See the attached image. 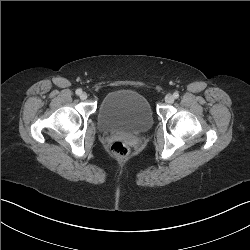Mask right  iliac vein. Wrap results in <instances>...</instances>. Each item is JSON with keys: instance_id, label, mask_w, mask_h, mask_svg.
Returning a JSON list of instances; mask_svg holds the SVG:
<instances>
[{"instance_id": "63e3f726", "label": "right iliac vein", "mask_w": 250, "mask_h": 250, "mask_svg": "<svg viewBox=\"0 0 250 250\" xmlns=\"http://www.w3.org/2000/svg\"><path fill=\"white\" fill-rule=\"evenodd\" d=\"M80 99H81V100L87 99V93H85V92L81 93V94H80Z\"/></svg>"}]
</instances>
